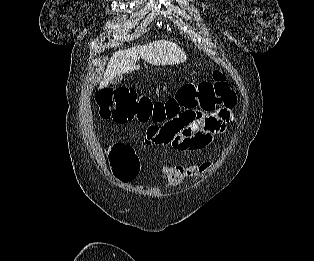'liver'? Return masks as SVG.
<instances>
[{"label":"liver","instance_id":"obj_1","mask_svg":"<svg viewBox=\"0 0 314 261\" xmlns=\"http://www.w3.org/2000/svg\"><path fill=\"white\" fill-rule=\"evenodd\" d=\"M140 58L152 65L160 66L180 64L187 59V55L177 43L168 40H156L146 45L116 51L107 64L99 88L107 86L116 75L138 70L140 67L136 63Z\"/></svg>","mask_w":314,"mask_h":261}]
</instances>
